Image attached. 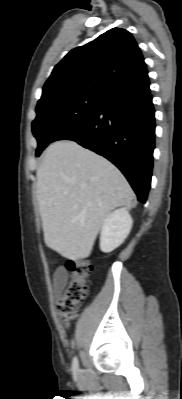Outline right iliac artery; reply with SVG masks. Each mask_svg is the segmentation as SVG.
Listing matches in <instances>:
<instances>
[{
  "instance_id": "obj_1",
  "label": "right iliac artery",
  "mask_w": 182,
  "mask_h": 399,
  "mask_svg": "<svg viewBox=\"0 0 182 399\" xmlns=\"http://www.w3.org/2000/svg\"><path fill=\"white\" fill-rule=\"evenodd\" d=\"M72 370L74 373H77L79 370V364H78V359L77 357L73 358V362H72Z\"/></svg>"
}]
</instances>
